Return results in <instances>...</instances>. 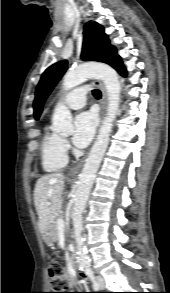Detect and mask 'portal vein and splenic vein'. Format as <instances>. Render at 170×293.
Returning a JSON list of instances; mask_svg holds the SVG:
<instances>
[{
  "label": "portal vein and splenic vein",
  "mask_w": 170,
  "mask_h": 293,
  "mask_svg": "<svg viewBox=\"0 0 170 293\" xmlns=\"http://www.w3.org/2000/svg\"><path fill=\"white\" fill-rule=\"evenodd\" d=\"M48 205H50V203H48ZM58 225V230H64L65 228V222L63 219H59L57 222Z\"/></svg>",
  "instance_id": "18ae733b"
}]
</instances>
